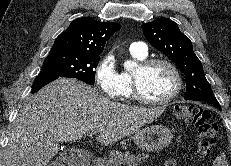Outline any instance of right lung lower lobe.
Returning <instances> with one entry per match:
<instances>
[{"label":"right lung lower lobe","mask_w":231,"mask_h":166,"mask_svg":"<svg viewBox=\"0 0 231 166\" xmlns=\"http://www.w3.org/2000/svg\"><path fill=\"white\" fill-rule=\"evenodd\" d=\"M59 77L60 76L55 75V74L39 73L38 76L34 80L33 87H32V93L37 92L43 86L56 80Z\"/></svg>","instance_id":"1"}]
</instances>
